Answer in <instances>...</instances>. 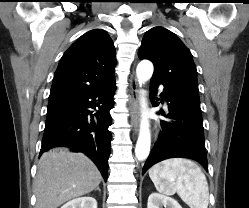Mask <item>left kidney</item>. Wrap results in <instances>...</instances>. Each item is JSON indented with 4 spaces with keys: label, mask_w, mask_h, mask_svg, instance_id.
<instances>
[{
    "label": "left kidney",
    "mask_w": 249,
    "mask_h": 208,
    "mask_svg": "<svg viewBox=\"0 0 249 208\" xmlns=\"http://www.w3.org/2000/svg\"><path fill=\"white\" fill-rule=\"evenodd\" d=\"M182 208L180 204L173 198L152 193L148 198L147 208Z\"/></svg>",
    "instance_id": "obj_1"
}]
</instances>
